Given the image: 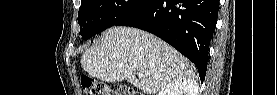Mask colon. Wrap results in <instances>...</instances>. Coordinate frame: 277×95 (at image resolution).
Masks as SVG:
<instances>
[{"label": "colon", "instance_id": "obj_1", "mask_svg": "<svg viewBox=\"0 0 277 95\" xmlns=\"http://www.w3.org/2000/svg\"><path fill=\"white\" fill-rule=\"evenodd\" d=\"M81 85L88 95H140L141 93L130 86H120L117 90L107 84L88 77L81 79Z\"/></svg>", "mask_w": 277, "mask_h": 95}]
</instances>
